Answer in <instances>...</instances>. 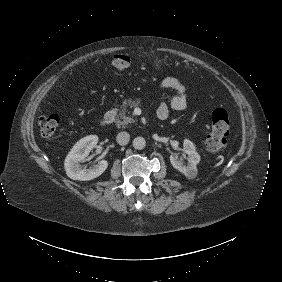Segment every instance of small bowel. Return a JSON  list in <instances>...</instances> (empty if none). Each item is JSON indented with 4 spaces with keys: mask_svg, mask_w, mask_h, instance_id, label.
<instances>
[{
    "mask_svg": "<svg viewBox=\"0 0 282 282\" xmlns=\"http://www.w3.org/2000/svg\"><path fill=\"white\" fill-rule=\"evenodd\" d=\"M161 90L171 89L175 91V95L170 100V106L174 110H184L187 107L188 96L184 83L177 77L168 76L159 83ZM169 115V106L166 102H162L157 109V117L160 120L167 119Z\"/></svg>",
    "mask_w": 282,
    "mask_h": 282,
    "instance_id": "obj_1",
    "label": "small bowel"
}]
</instances>
